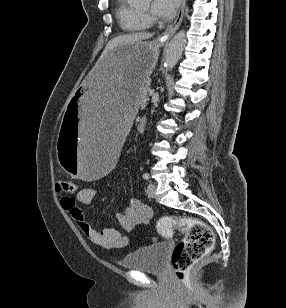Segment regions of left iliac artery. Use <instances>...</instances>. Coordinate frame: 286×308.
<instances>
[{"instance_id": "44dca946", "label": "left iliac artery", "mask_w": 286, "mask_h": 308, "mask_svg": "<svg viewBox=\"0 0 286 308\" xmlns=\"http://www.w3.org/2000/svg\"><path fill=\"white\" fill-rule=\"evenodd\" d=\"M143 178H144L145 180H149V179H150V175H149L148 173H144V174H143Z\"/></svg>"}]
</instances>
